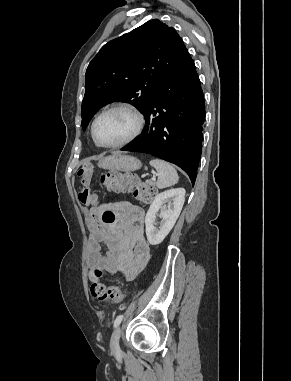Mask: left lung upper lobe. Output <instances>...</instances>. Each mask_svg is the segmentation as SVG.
<instances>
[{"instance_id":"5c2ea615","label":"left lung upper lobe","mask_w":291,"mask_h":381,"mask_svg":"<svg viewBox=\"0 0 291 381\" xmlns=\"http://www.w3.org/2000/svg\"><path fill=\"white\" fill-rule=\"evenodd\" d=\"M174 28L158 19L105 44L88 65L82 101V127L113 101H124L142 113L187 53Z\"/></svg>"}]
</instances>
